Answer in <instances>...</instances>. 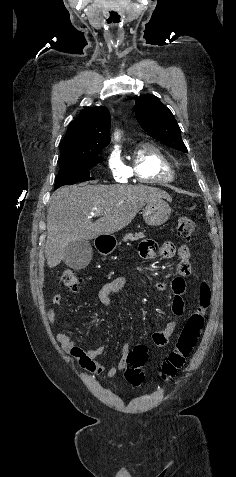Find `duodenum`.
Listing matches in <instances>:
<instances>
[{
	"instance_id": "obj_1",
	"label": "duodenum",
	"mask_w": 236,
	"mask_h": 477,
	"mask_svg": "<svg viewBox=\"0 0 236 477\" xmlns=\"http://www.w3.org/2000/svg\"><path fill=\"white\" fill-rule=\"evenodd\" d=\"M102 243L99 244V247L102 249H106L108 246L111 245L110 240L107 239H100Z\"/></svg>"
}]
</instances>
